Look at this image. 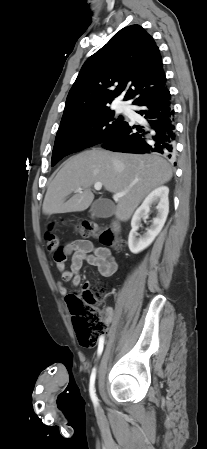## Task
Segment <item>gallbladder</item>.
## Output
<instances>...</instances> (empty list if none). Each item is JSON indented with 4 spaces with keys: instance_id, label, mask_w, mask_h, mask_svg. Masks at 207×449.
<instances>
[{
    "instance_id": "1",
    "label": "gallbladder",
    "mask_w": 207,
    "mask_h": 449,
    "mask_svg": "<svg viewBox=\"0 0 207 449\" xmlns=\"http://www.w3.org/2000/svg\"><path fill=\"white\" fill-rule=\"evenodd\" d=\"M115 206L107 199H97L91 206L93 215L101 218H108L114 214Z\"/></svg>"
}]
</instances>
